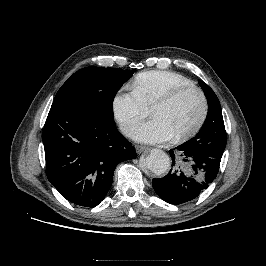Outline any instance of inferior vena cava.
Listing matches in <instances>:
<instances>
[{
	"label": "inferior vena cava",
	"instance_id": "1",
	"mask_svg": "<svg viewBox=\"0 0 266 266\" xmlns=\"http://www.w3.org/2000/svg\"><path fill=\"white\" fill-rule=\"evenodd\" d=\"M121 130L126 136L130 135V129L128 127H122Z\"/></svg>",
	"mask_w": 266,
	"mask_h": 266
}]
</instances>
